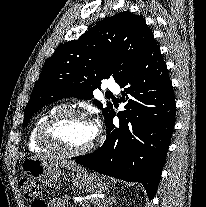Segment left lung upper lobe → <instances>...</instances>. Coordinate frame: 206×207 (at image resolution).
<instances>
[{
	"label": "left lung upper lobe",
	"mask_w": 206,
	"mask_h": 207,
	"mask_svg": "<svg viewBox=\"0 0 206 207\" xmlns=\"http://www.w3.org/2000/svg\"><path fill=\"white\" fill-rule=\"evenodd\" d=\"M156 45L142 16L129 11L100 21L78 40L61 45L48 58L25 108L23 126L42 107L65 97L89 100L102 79L112 76L119 84ZM99 108L103 105L94 100ZM107 122L112 105L102 110Z\"/></svg>",
	"instance_id": "obj_1"
}]
</instances>
